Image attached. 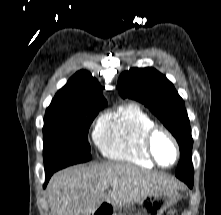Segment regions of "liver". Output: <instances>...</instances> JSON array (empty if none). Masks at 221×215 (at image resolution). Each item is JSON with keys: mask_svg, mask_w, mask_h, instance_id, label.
<instances>
[{"mask_svg": "<svg viewBox=\"0 0 221 215\" xmlns=\"http://www.w3.org/2000/svg\"><path fill=\"white\" fill-rule=\"evenodd\" d=\"M112 190L107 194L109 188ZM165 174L123 162L72 166L57 172L47 186L52 215H90L104 201L113 208L136 203L158 190L179 189Z\"/></svg>", "mask_w": 221, "mask_h": 215, "instance_id": "1", "label": "liver"}]
</instances>
